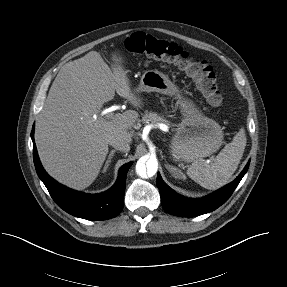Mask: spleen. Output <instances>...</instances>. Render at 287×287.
Here are the masks:
<instances>
[{
  "instance_id": "spleen-1",
  "label": "spleen",
  "mask_w": 287,
  "mask_h": 287,
  "mask_svg": "<svg viewBox=\"0 0 287 287\" xmlns=\"http://www.w3.org/2000/svg\"><path fill=\"white\" fill-rule=\"evenodd\" d=\"M246 142L245 130L241 128L213 163L198 159L188 168L187 175L206 189L214 190L226 185L240 163Z\"/></svg>"
}]
</instances>
